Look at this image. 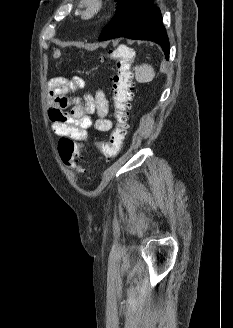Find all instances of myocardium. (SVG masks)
<instances>
[{"instance_id": "f54148a6", "label": "myocardium", "mask_w": 233, "mask_h": 328, "mask_svg": "<svg viewBox=\"0 0 233 328\" xmlns=\"http://www.w3.org/2000/svg\"><path fill=\"white\" fill-rule=\"evenodd\" d=\"M104 7L103 0H81V17L86 21L96 19Z\"/></svg>"}]
</instances>
